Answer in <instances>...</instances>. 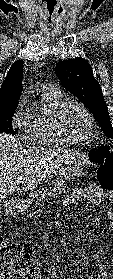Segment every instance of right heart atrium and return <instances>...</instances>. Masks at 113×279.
I'll return each instance as SVG.
<instances>
[{"mask_svg": "<svg viewBox=\"0 0 113 279\" xmlns=\"http://www.w3.org/2000/svg\"><path fill=\"white\" fill-rule=\"evenodd\" d=\"M25 107H26V100L22 99L20 102L14 116H13V126L15 128H23L26 127L28 118L25 113Z\"/></svg>", "mask_w": 113, "mask_h": 279, "instance_id": "right-heart-atrium-1", "label": "right heart atrium"}]
</instances>
